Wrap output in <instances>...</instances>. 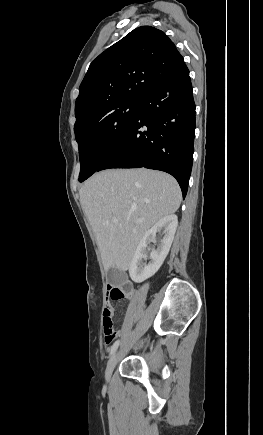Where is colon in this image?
Segmentation results:
<instances>
[{"instance_id":"colon-1","label":"colon","mask_w":263,"mask_h":435,"mask_svg":"<svg viewBox=\"0 0 263 435\" xmlns=\"http://www.w3.org/2000/svg\"><path fill=\"white\" fill-rule=\"evenodd\" d=\"M129 292L127 285H109L108 297L110 300L118 301L126 297ZM103 333L107 344L111 343L116 337V330L113 323L111 312H103Z\"/></svg>"}]
</instances>
